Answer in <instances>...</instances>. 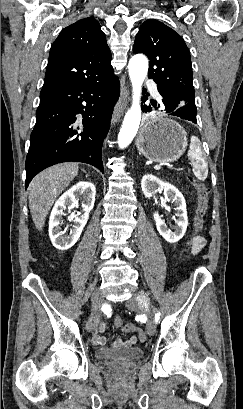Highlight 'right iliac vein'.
I'll list each match as a JSON object with an SVG mask.
<instances>
[{"mask_svg":"<svg viewBox=\"0 0 243 409\" xmlns=\"http://www.w3.org/2000/svg\"><path fill=\"white\" fill-rule=\"evenodd\" d=\"M100 301H101V292L100 290L96 289L92 295L91 316L86 325V329L88 332H93L97 327L99 316H100Z\"/></svg>","mask_w":243,"mask_h":409,"instance_id":"63e3f726","label":"right iliac vein"}]
</instances>
